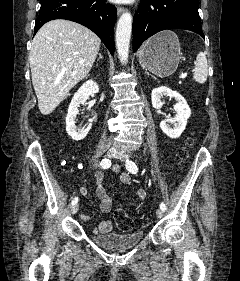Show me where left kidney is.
I'll return each instance as SVG.
<instances>
[{"label": "left kidney", "instance_id": "1", "mask_svg": "<svg viewBox=\"0 0 240 281\" xmlns=\"http://www.w3.org/2000/svg\"><path fill=\"white\" fill-rule=\"evenodd\" d=\"M163 96L174 98L177 103L174 105L176 115L173 119H166L161 121V130L170 138H179L185 130L187 120L191 115V110L184 99L178 92L172 91L168 87L162 86L152 90L151 100L152 106L155 109H161L164 102L161 100ZM169 124H173V128Z\"/></svg>", "mask_w": 240, "mask_h": 281}]
</instances>
